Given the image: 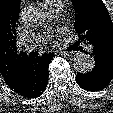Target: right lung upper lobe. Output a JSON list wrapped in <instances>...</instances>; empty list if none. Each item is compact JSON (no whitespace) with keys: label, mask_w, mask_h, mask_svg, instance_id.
Returning <instances> with one entry per match:
<instances>
[{"label":"right lung upper lobe","mask_w":113,"mask_h":113,"mask_svg":"<svg viewBox=\"0 0 113 113\" xmlns=\"http://www.w3.org/2000/svg\"><path fill=\"white\" fill-rule=\"evenodd\" d=\"M20 0H0V73L6 83L14 79L28 58L16 48L15 25Z\"/></svg>","instance_id":"1"}]
</instances>
